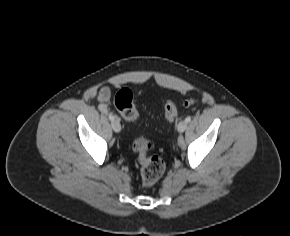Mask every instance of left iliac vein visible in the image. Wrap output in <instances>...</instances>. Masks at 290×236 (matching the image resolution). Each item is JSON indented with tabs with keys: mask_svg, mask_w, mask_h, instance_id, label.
<instances>
[{
	"mask_svg": "<svg viewBox=\"0 0 290 236\" xmlns=\"http://www.w3.org/2000/svg\"><path fill=\"white\" fill-rule=\"evenodd\" d=\"M187 128V122L186 121H180L177 125V130L178 132L182 133L186 130Z\"/></svg>",
	"mask_w": 290,
	"mask_h": 236,
	"instance_id": "1",
	"label": "left iliac vein"
}]
</instances>
